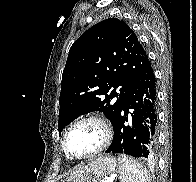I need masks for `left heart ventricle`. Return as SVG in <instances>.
<instances>
[{
	"label": "left heart ventricle",
	"instance_id": "obj_1",
	"mask_svg": "<svg viewBox=\"0 0 196 182\" xmlns=\"http://www.w3.org/2000/svg\"><path fill=\"white\" fill-rule=\"evenodd\" d=\"M101 130L95 123L76 126L68 137V149L74 155H85L94 150L101 142Z\"/></svg>",
	"mask_w": 196,
	"mask_h": 182
}]
</instances>
